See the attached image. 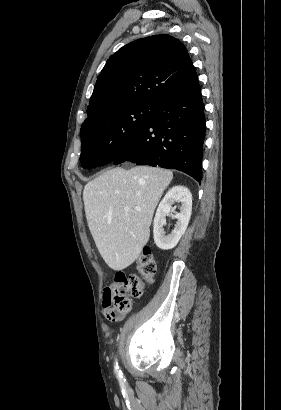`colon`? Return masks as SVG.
Masks as SVG:
<instances>
[{
    "instance_id": "1",
    "label": "colon",
    "mask_w": 281,
    "mask_h": 410,
    "mask_svg": "<svg viewBox=\"0 0 281 410\" xmlns=\"http://www.w3.org/2000/svg\"><path fill=\"white\" fill-rule=\"evenodd\" d=\"M138 270L140 276L118 272L110 283L109 296L113 306L107 318L117 321L121 314L131 310L132 299L140 298L146 284L153 281L156 272V263L149 247H144L139 257Z\"/></svg>"
}]
</instances>
